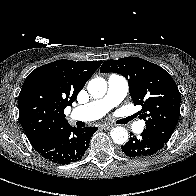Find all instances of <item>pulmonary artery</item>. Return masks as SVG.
Here are the masks:
<instances>
[{"label":"pulmonary artery","instance_id":"e3ab8cb5","mask_svg":"<svg viewBox=\"0 0 196 196\" xmlns=\"http://www.w3.org/2000/svg\"><path fill=\"white\" fill-rule=\"evenodd\" d=\"M127 92V80L121 75L111 74L107 80L106 94L100 99L74 108L71 111V118L80 121L97 120L120 104L125 98ZM141 128V123H137L135 130L140 131Z\"/></svg>","mask_w":196,"mask_h":196}]
</instances>
